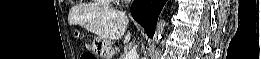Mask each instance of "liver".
Here are the masks:
<instances>
[{
  "mask_svg": "<svg viewBox=\"0 0 261 59\" xmlns=\"http://www.w3.org/2000/svg\"><path fill=\"white\" fill-rule=\"evenodd\" d=\"M129 19L124 12L113 9H101L87 12L83 16L71 14L69 24H80L88 31L107 40H118L125 34ZM131 33L125 35L124 43H129Z\"/></svg>",
  "mask_w": 261,
  "mask_h": 59,
  "instance_id": "obj_1",
  "label": "liver"
}]
</instances>
